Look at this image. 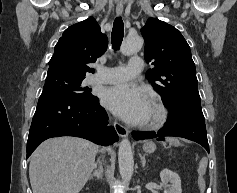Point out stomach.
<instances>
[{"label":"stomach","mask_w":237,"mask_h":193,"mask_svg":"<svg viewBox=\"0 0 237 193\" xmlns=\"http://www.w3.org/2000/svg\"><path fill=\"white\" fill-rule=\"evenodd\" d=\"M156 149V145L153 142H146L143 145V150L147 153H152Z\"/></svg>","instance_id":"obj_1"}]
</instances>
